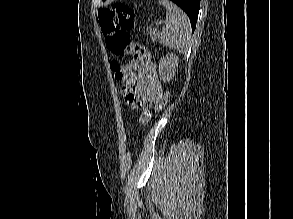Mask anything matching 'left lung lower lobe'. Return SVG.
Masks as SVG:
<instances>
[{
	"label": "left lung lower lobe",
	"mask_w": 293,
	"mask_h": 219,
	"mask_svg": "<svg viewBox=\"0 0 293 219\" xmlns=\"http://www.w3.org/2000/svg\"><path fill=\"white\" fill-rule=\"evenodd\" d=\"M176 3L180 8H182L188 15L192 31L196 28V22L198 18V13L200 9V0H171Z\"/></svg>",
	"instance_id": "obj_1"
}]
</instances>
